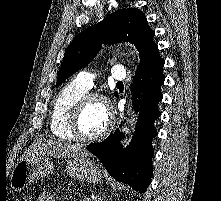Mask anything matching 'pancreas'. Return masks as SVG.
<instances>
[{
  "instance_id": "cf45deb5",
  "label": "pancreas",
  "mask_w": 221,
  "mask_h": 201,
  "mask_svg": "<svg viewBox=\"0 0 221 201\" xmlns=\"http://www.w3.org/2000/svg\"><path fill=\"white\" fill-rule=\"evenodd\" d=\"M78 196H79V197H78V199H79L78 201H82L80 194H78ZM83 201H84V200H83Z\"/></svg>"
}]
</instances>
